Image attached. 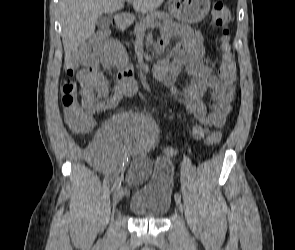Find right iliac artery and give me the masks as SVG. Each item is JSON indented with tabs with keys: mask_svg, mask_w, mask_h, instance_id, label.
I'll use <instances>...</instances> for the list:
<instances>
[{
	"mask_svg": "<svg viewBox=\"0 0 295 250\" xmlns=\"http://www.w3.org/2000/svg\"><path fill=\"white\" fill-rule=\"evenodd\" d=\"M121 182H122V177H118L113 184L112 191H115L116 189H118L121 186Z\"/></svg>",
	"mask_w": 295,
	"mask_h": 250,
	"instance_id": "obj_1",
	"label": "right iliac artery"
}]
</instances>
